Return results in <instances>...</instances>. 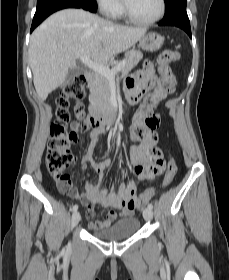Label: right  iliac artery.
Returning <instances> with one entry per match:
<instances>
[{
    "label": "right iliac artery",
    "instance_id": "obj_1",
    "mask_svg": "<svg viewBox=\"0 0 229 280\" xmlns=\"http://www.w3.org/2000/svg\"><path fill=\"white\" fill-rule=\"evenodd\" d=\"M77 209H78V205L75 204V205L72 207V211L75 212V211H77Z\"/></svg>",
    "mask_w": 229,
    "mask_h": 280
}]
</instances>
